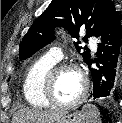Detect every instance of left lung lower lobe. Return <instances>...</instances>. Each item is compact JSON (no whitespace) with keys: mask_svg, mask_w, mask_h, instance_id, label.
Listing matches in <instances>:
<instances>
[{"mask_svg":"<svg viewBox=\"0 0 122 123\" xmlns=\"http://www.w3.org/2000/svg\"><path fill=\"white\" fill-rule=\"evenodd\" d=\"M98 69H91L93 88L91 100H109L115 97L122 83V26L117 14L111 18L99 36ZM93 62L90 58L87 65Z\"/></svg>","mask_w":122,"mask_h":123,"instance_id":"obj_1","label":"left lung lower lobe"}]
</instances>
